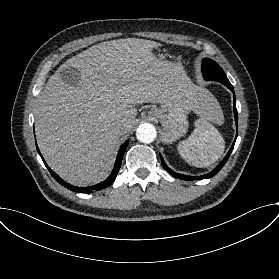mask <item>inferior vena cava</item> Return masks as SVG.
<instances>
[{
  "label": "inferior vena cava",
  "instance_id": "1",
  "mask_svg": "<svg viewBox=\"0 0 279 279\" xmlns=\"http://www.w3.org/2000/svg\"><path fill=\"white\" fill-rule=\"evenodd\" d=\"M129 121L127 119L123 120L120 125L116 127V134H120L122 129L128 126Z\"/></svg>",
  "mask_w": 279,
  "mask_h": 279
}]
</instances>
